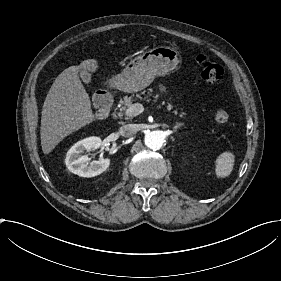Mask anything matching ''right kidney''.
Listing matches in <instances>:
<instances>
[{
	"label": "right kidney",
	"instance_id": "ca27d5eb",
	"mask_svg": "<svg viewBox=\"0 0 281 281\" xmlns=\"http://www.w3.org/2000/svg\"><path fill=\"white\" fill-rule=\"evenodd\" d=\"M102 140L100 137L91 136L75 143L65 157V165L68 170L81 177H92L99 175L106 170L109 162L107 160H91L83 151H97L101 148Z\"/></svg>",
	"mask_w": 281,
	"mask_h": 281
}]
</instances>
